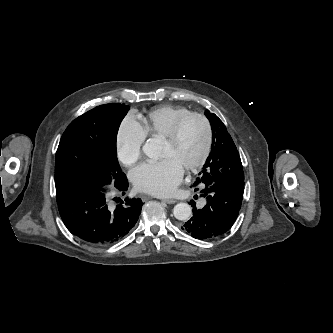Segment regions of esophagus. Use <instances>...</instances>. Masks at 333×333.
Here are the masks:
<instances>
[{"instance_id": "34e87169", "label": "esophagus", "mask_w": 333, "mask_h": 333, "mask_svg": "<svg viewBox=\"0 0 333 333\" xmlns=\"http://www.w3.org/2000/svg\"><path fill=\"white\" fill-rule=\"evenodd\" d=\"M164 202H166L167 204H174L176 203V200L174 199H162Z\"/></svg>"}]
</instances>
